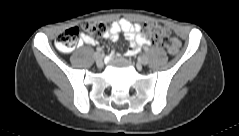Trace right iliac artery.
<instances>
[{"instance_id":"82829eb1","label":"right iliac artery","mask_w":239,"mask_h":136,"mask_svg":"<svg viewBox=\"0 0 239 136\" xmlns=\"http://www.w3.org/2000/svg\"><path fill=\"white\" fill-rule=\"evenodd\" d=\"M96 50H97V52H101V51H102V48L97 47Z\"/></svg>"}]
</instances>
